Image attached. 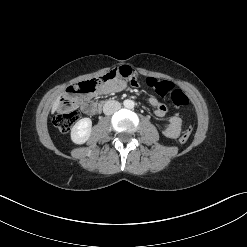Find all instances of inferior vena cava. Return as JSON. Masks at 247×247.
I'll return each mask as SVG.
<instances>
[{
	"mask_svg": "<svg viewBox=\"0 0 247 247\" xmlns=\"http://www.w3.org/2000/svg\"><path fill=\"white\" fill-rule=\"evenodd\" d=\"M121 108V104L118 101H107L103 106V112L105 115H111Z\"/></svg>",
	"mask_w": 247,
	"mask_h": 247,
	"instance_id": "obj_1",
	"label": "inferior vena cava"
}]
</instances>
